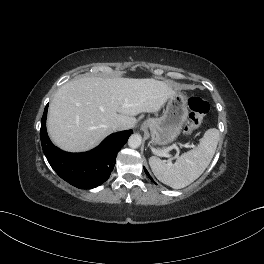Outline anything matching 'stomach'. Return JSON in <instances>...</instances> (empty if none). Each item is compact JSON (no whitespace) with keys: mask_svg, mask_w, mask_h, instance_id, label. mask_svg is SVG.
I'll return each instance as SVG.
<instances>
[{"mask_svg":"<svg viewBox=\"0 0 264 264\" xmlns=\"http://www.w3.org/2000/svg\"><path fill=\"white\" fill-rule=\"evenodd\" d=\"M187 116V97L176 92L169 98L166 110L160 118H150L144 123L150 129L151 144L165 146L175 141Z\"/></svg>","mask_w":264,"mask_h":264,"instance_id":"obj_1","label":"stomach"}]
</instances>
